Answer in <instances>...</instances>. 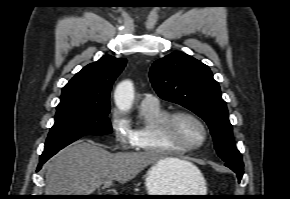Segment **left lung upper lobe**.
<instances>
[{
	"label": "left lung upper lobe",
	"instance_id": "5c2ea615",
	"mask_svg": "<svg viewBox=\"0 0 290 199\" xmlns=\"http://www.w3.org/2000/svg\"><path fill=\"white\" fill-rule=\"evenodd\" d=\"M150 80L162 99L180 104L206 121L223 161L243 163L233 139L226 102L207 65L185 53L173 52L154 62Z\"/></svg>",
	"mask_w": 290,
	"mask_h": 199
}]
</instances>
